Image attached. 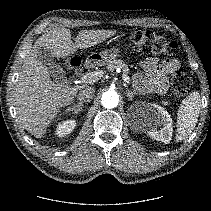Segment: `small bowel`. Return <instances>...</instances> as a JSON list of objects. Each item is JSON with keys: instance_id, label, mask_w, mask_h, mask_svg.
Returning a JSON list of instances; mask_svg holds the SVG:
<instances>
[{"instance_id": "small-bowel-1", "label": "small bowel", "mask_w": 211, "mask_h": 211, "mask_svg": "<svg viewBox=\"0 0 211 211\" xmlns=\"http://www.w3.org/2000/svg\"><path fill=\"white\" fill-rule=\"evenodd\" d=\"M141 67L144 73L134 75L138 87L145 92L161 95L167 91L168 77L178 68V61L175 59L161 61L158 58L150 57L141 62Z\"/></svg>"}]
</instances>
